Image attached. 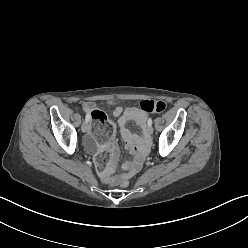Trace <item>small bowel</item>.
I'll return each mask as SVG.
<instances>
[{"label": "small bowel", "mask_w": 248, "mask_h": 248, "mask_svg": "<svg viewBox=\"0 0 248 248\" xmlns=\"http://www.w3.org/2000/svg\"><path fill=\"white\" fill-rule=\"evenodd\" d=\"M95 108L96 105L92 102H87L83 105V110L89 115L92 112V110H94ZM112 114L113 116L118 118L120 134L126 143L127 150L132 155V159L129 161H125L121 167L128 174H133L137 172L142 166L143 158L147 150V140L145 136L132 133L128 128V124L130 122H134L142 129L143 132H145L147 128L149 116L146 112L142 111L140 108L131 107L124 109L122 106L114 107ZM94 141L95 140L92 135H89L86 139V145L91 150H94L96 148ZM108 148L111 151V157H112L109 170H113L114 172L116 168V161L119 156V151L114 141H111L108 144Z\"/></svg>", "instance_id": "1"}]
</instances>
